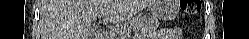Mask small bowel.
<instances>
[{"label":"small bowel","instance_id":"small-bowel-1","mask_svg":"<svg viewBox=\"0 0 249 39\" xmlns=\"http://www.w3.org/2000/svg\"><path fill=\"white\" fill-rule=\"evenodd\" d=\"M179 35V30L175 28H164L157 35V39H169Z\"/></svg>","mask_w":249,"mask_h":39}]
</instances>
